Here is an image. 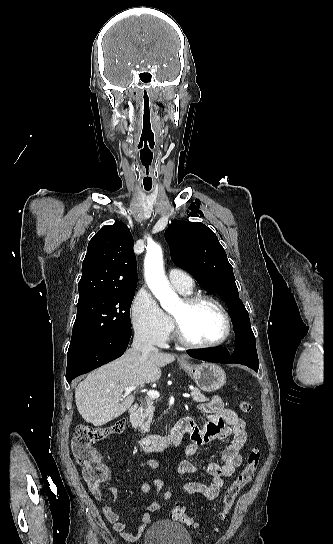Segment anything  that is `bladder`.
Segmentation results:
<instances>
[{
  "label": "bladder",
  "mask_w": 333,
  "mask_h": 544,
  "mask_svg": "<svg viewBox=\"0 0 333 544\" xmlns=\"http://www.w3.org/2000/svg\"><path fill=\"white\" fill-rule=\"evenodd\" d=\"M143 544H193L191 535L183 525L159 520L146 530Z\"/></svg>",
  "instance_id": "bladder-1"
}]
</instances>
